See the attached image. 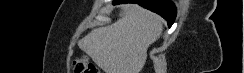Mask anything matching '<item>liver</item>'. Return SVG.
Segmentation results:
<instances>
[{
    "instance_id": "1",
    "label": "liver",
    "mask_w": 244,
    "mask_h": 73,
    "mask_svg": "<svg viewBox=\"0 0 244 73\" xmlns=\"http://www.w3.org/2000/svg\"><path fill=\"white\" fill-rule=\"evenodd\" d=\"M162 31L163 19L159 15L137 4H128L121 19L92 30L78 46L105 73H140L148 47Z\"/></svg>"
}]
</instances>
